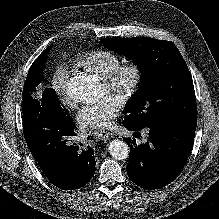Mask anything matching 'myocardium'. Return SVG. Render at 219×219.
Listing matches in <instances>:
<instances>
[{"label": "myocardium", "instance_id": "f54148a6", "mask_svg": "<svg viewBox=\"0 0 219 219\" xmlns=\"http://www.w3.org/2000/svg\"><path fill=\"white\" fill-rule=\"evenodd\" d=\"M125 77H128V83L124 90L119 91L120 85ZM142 81V67L136 62H129L119 65L111 74L103 79V84L106 87L108 94L119 93V102L126 104L136 96Z\"/></svg>", "mask_w": 219, "mask_h": 219}]
</instances>
